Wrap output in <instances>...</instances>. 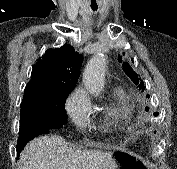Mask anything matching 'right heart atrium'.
Wrapping results in <instances>:
<instances>
[{
  "label": "right heart atrium",
  "instance_id": "right-heart-atrium-1",
  "mask_svg": "<svg viewBox=\"0 0 177 169\" xmlns=\"http://www.w3.org/2000/svg\"><path fill=\"white\" fill-rule=\"evenodd\" d=\"M65 109L77 127L83 128L89 123L92 103L83 89L77 88L71 93L66 101Z\"/></svg>",
  "mask_w": 177,
  "mask_h": 169
}]
</instances>
